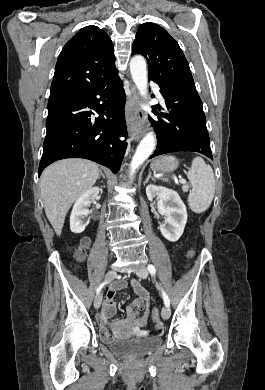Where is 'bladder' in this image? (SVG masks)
Wrapping results in <instances>:
<instances>
[{
    "label": "bladder",
    "instance_id": "31cf9c89",
    "mask_svg": "<svg viewBox=\"0 0 265 390\" xmlns=\"http://www.w3.org/2000/svg\"><path fill=\"white\" fill-rule=\"evenodd\" d=\"M161 345V339L157 336L145 338L115 339L108 343L110 350L123 357L133 358L143 356Z\"/></svg>",
    "mask_w": 265,
    "mask_h": 390
}]
</instances>
